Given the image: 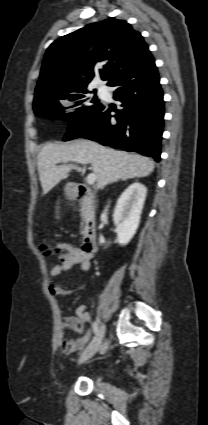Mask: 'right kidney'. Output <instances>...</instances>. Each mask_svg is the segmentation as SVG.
I'll use <instances>...</instances> for the list:
<instances>
[{"instance_id": "ca27d5eb", "label": "right kidney", "mask_w": 208, "mask_h": 425, "mask_svg": "<svg viewBox=\"0 0 208 425\" xmlns=\"http://www.w3.org/2000/svg\"><path fill=\"white\" fill-rule=\"evenodd\" d=\"M147 188L135 182L120 196L114 209L117 242L127 245L135 235L140 223V215L146 199Z\"/></svg>"}]
</instances>
